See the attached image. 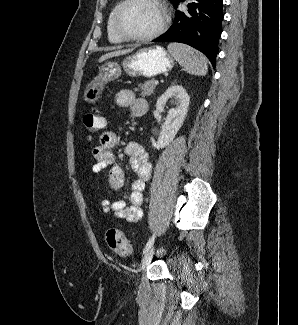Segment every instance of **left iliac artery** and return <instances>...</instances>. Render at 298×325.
<instances>
[{
    "mask_svg": "<svg viewBox=\"0 0 298 325\" xmlns=\"http://www.w3.org/2000/svg\"><path fill=\"white\" fill-rule=\"evenodd\" d=\"M154 235L148 240V242H147V244H146V246H145V248H144V250H143V253H145V252H147L150 248H151V246L153 245V243H154Z\"/></svg>",
    "mask_w": 298,
    "mask_h": 325,
    "instance_id": "1",
    "label": "left iliac artery"
}]
</instances>
